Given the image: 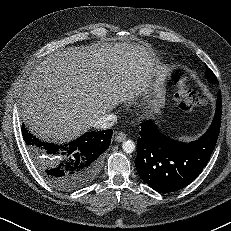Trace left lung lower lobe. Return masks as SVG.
<instances>
[{"label":"left lung lower lobe","instance_id":"1","mask_svg":"<svg viewBox=\"0 0 231 231\" xmlns=\"http://www.w3.org/2000/svg\"><path fill=\"white\" fill-rule=\"evenodd\" d=\"M221 126V92L207 132L190 143L163 134L152 120L141 123L135 166L142 180L160 193L173 192L190 184L201 173L216 145Z\"/></svg>","mask_w":231,"mask_h":231}]
</instances>
